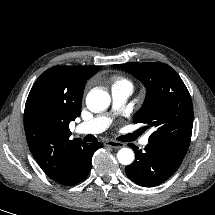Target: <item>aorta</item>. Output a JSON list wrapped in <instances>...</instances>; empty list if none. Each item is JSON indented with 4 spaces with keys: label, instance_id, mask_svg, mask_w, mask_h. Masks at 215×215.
<instances>
[{
    "label": "aorta",
    "instance_id": "762f6f07",
    "mask_svg": "<svg viewBox=\"0 0 215 215\" xmlns=\"http://www.w3.org/2000/svg\"><path fill=\"white\" fill-rule=\"evenodd\" d=\"M87 107L91 111H103L110 105V96L103 90H92L86 97ZM118 161L123 165H129L134 161V152L129 148H122L117 153Z\"/></svg>",
    "mask_w": 215,
    "mask_h": 215
}]
</instances>
